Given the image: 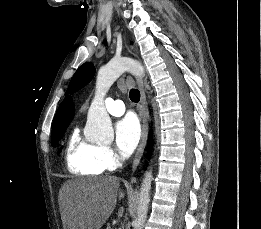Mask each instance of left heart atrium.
I'll use <instances>...</instances> for the list:
<instances>
[{
  "mask_svg": "<svg viewBox=\"0 0 261 229\" xmlns=\"http://www.w3.org/2000/svg\"><path fill=\"white\" fill-rule=\"evenodd\" d=\"M140 138L141 126L135 116H127L116 124L115 141L123 155H130L139 144Z\"/></svg>",
  "mask_w": 261,
  "mask_h": 229,
  "instance_id": "39dd6f15",
  "label": "left heart atrium"
}]
</instances>
